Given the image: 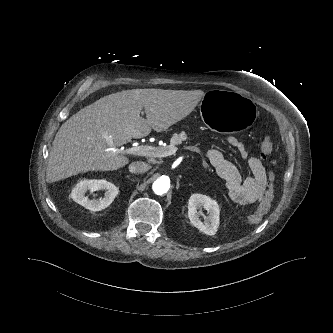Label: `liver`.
Segmentation results:
<instances>
[{"mask_svg":"<svg viewBox=\"0 0 333 333\" xmlns=\"http://www.w3.org/2000/svg\"><path fill=\"white\" fill-rule=\"evenodd\" d=\"M203 96L202 90L132 89L100 98L58 130L49 153L47 181L125 166L129 158L113 148L147 136L151 128L167 130L189 115ZM143 108L146 119L140 116Z\"/></svg>","mask_w":333,"mask_h":333,"instance_id":"6515ba94","label":"liver"}]
</instances>
